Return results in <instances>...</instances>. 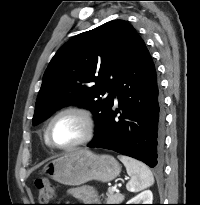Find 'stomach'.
<instances>
[{
	"instance_id": "1",
	"label": "stomach",
	"mask_w": 200,
	"mask_h": 205,
	"mask_svg": "<svg viewBox=\"0 0 200 205\" xmlns=\"http://www.w3.org/2000/svg\"><path fill=\"white\" fill-rule=\"evenodd\" d=\"M44 171L61 184L79 186L90 180L109 182L119 175L121 167L110 155H97L81 149L49 162Z\"/></svg>"
}]
</instances>
